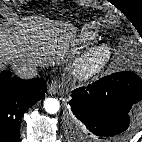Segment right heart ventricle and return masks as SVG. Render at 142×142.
Returning <instances> with one entry per match:
<instances>
[{
  "label": "right heart ventricle",
  "mask_w": 142,
  "mask_h": 142,
  "mask_svg": "<svg viewBox=\"0 0 142 142\" xmlns=\"http://www.w3.org/2000/svg\"><path fill=\"white\" fill-rule=\"evenodd\" d=\"M96 37L95 33H87L84 34L79 40H77V45H83V44H87L91 41H93Z\"/></svg>",
  "instance_id": "e07e8e85"
}]
</instances>
